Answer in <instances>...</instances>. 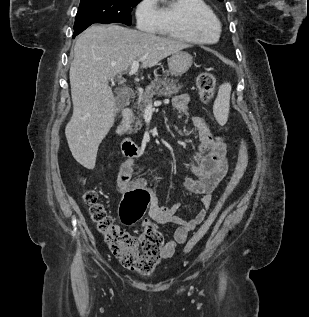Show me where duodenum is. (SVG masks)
<instances>
[{"label": "duodenum", "instance_id": "duodenum-1", "mask_svg": "<svg viewBox=\"0 0 309 317\" xmlns=\"http://www.w3.org/2000/svg\"><path fill=\"white\" fill-rule=\"evenodd\" d=\"M132 109L130 107H126L122 111V123L118 126L117 132L120 135L125 134V123L131 118L132 116ZM122 150L125 155L130 157H138L144 153L143 149L137 146L130 138L124 137L122 139Z\"/></svg>", "mask_w": 309, "mask_h": 317}]
</instances>
